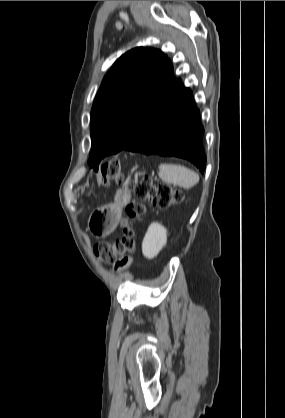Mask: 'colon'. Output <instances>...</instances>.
<instances>
[{
    "instance_id": "obj_1",
    "label": "colon",
    "mask_w": 285,
    "mask_h": 418,
    "mask_svg": "<svg viewBox=\"0 0 285 418\" xmlns=\"http://www.w3.org/2000/svg\"><path fill=\"white\" fill-rule=\"evenodd\" d=\"M94 176L100 177L105 185H108L111 180L120 184L124 182V175L120 170L118 160L108 161L94 173ZM135 196L137 200L125 209L122 237L112 242H101L95 247L96 257L103 262H113L119 255H124L116 266L118 270L127 268L137 255L134 230L130 222L139 219L144 214V202L148 201L155 207L169 209L181 201L183 193L164 183L154 184L148 176H145L135 187Z\"/></svg>"
}]
</instances>
